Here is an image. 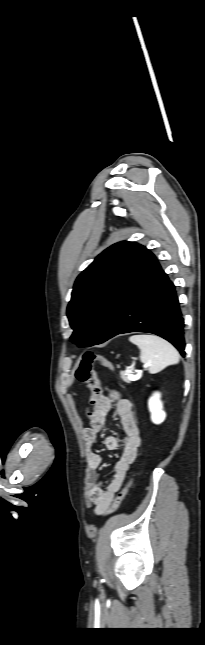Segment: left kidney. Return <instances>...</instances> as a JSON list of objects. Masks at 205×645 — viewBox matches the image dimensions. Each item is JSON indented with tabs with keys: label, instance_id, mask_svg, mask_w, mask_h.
<instances>
[{
	"label": "left kidney",
	"instance_id": "obj_1",
	"mask_svg": "<svg viewBox=\"0 0 205 645\" xmlns=\"http://www.w3.org/2000/svg\"><path fill=\"white\" fill-rule=\"evenodd\" d=\"M160 393L155 392L148 401L149 411L151 413V420L155 424L162 423L166 418V413L163 411V405L160 400Z\"/></svg>",
	"mask_w": 205,
	"mask_h": 645
}]
</instances>
